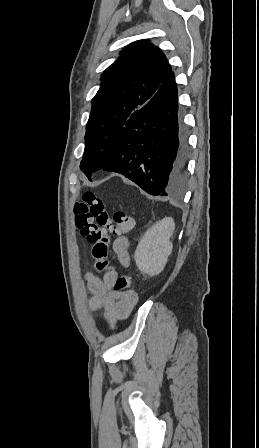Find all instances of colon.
<instances>
[{
	"instance_id": "obj_1",
	"label": "colon",
	"mask_w": 259,
	"mask_h": 448,
	"mask_svg": "<svg viewBox=\"0 0 259 448\" xmlns=\"http://www.w3.org/2000/svg\"><path fill=\"white\" fill-rule=\"evenodd\" d=\"M74 221L80 234L90 243V258L95 274H103L111 266L108 260L110 235L122 236L135 225L134 218L118 211L110 215L99 196L91 191L82 194L81 200L74 205ZM132 280L126 274H120L114 288L117 291H130Z\"/></svg>"
}]
</instances>
